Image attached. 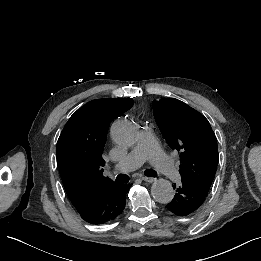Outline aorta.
I'll use <instances>...</instances> for the list:
<instances>
[{
	"mask_svg": "<svg viewBox=\"0 0 261 261\" xmlns=\"http://www.w3.org/2000/svg\"><path fill=\"white\" fill-rule=\"evenodd\" d=\"M111 136L119 145L132 146L138 141L139 130L132 121L118 120L111 126ZM151 194L157 202L167 204L174 198V189L170 181L159 179L152 184Z\"/></svg>",
	"mask_w": 261,
	"mask_h": 261,
	"instance_id": "obj_1",
	"label": "aorta"
}]
</instances>
